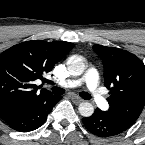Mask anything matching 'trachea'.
<instances>
[{
    "instance_id": "trachea-1",
    "label": "trachea",
    "mask_w": 145,
    "mask_h": 145,
    "mask_svg": "<svg viewBox=\"0 0 145 145\" xmlns=\"http://www.w3.org/2000/svg\"><path fill=\"white\" fill-rule=\"evenodd\" d=\"M64 91H65V90H64L63 88H60V87H53V88H52V92H53V94H55V95H62V94L64 93ZM79 95H80L82 98L86 99V100H90V99H91L90 94H88L87 92H80Z\"/></svg>"
}]
</instances>
